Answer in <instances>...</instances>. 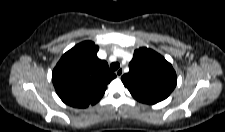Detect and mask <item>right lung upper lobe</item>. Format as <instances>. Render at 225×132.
Masks as SVG:
<instances>
[{"instance_id": "right-lung-upper-lobe-1", "label": "right lung upper lobe", "mask_w": 225, "mask_h": 132, "mask_svg": "<svg viewBox=\"0 0 225 132\" xmlns=\"http://www.w3.org/2000/svg\"><path fill=\"white\" fill-rule=\"evenodd\" d=\"M99 47L84 41L67 51L52 72V82L61 100L77 108L96 104L116 75L97 57Z\"/></svg>"}]
</instances>
